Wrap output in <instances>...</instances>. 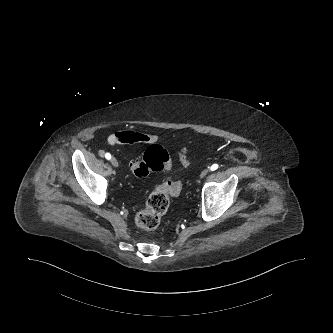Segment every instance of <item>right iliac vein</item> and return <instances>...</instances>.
<instances>
[{"mask_svg": "<svg viewBox=\"0 0 333 333\" xmlns=\"http://www.w3.org/2000/svg\"><path fill=\"white\" fill-rule=\"evenodd\" d=\"M111 163H112L113 167H115V168H117L119 166V163L115 157H113L111 159Z\"/></svg>", "mask_w": 333, "mask_h": 333, "instance_id": "1", "label": "right iliac vein"}]
</instances>
